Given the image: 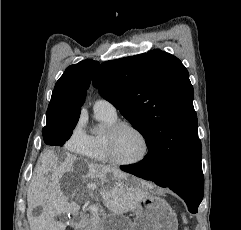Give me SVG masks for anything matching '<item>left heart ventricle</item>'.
<instances>
[{
  "label": "left heart ventricle",
  "instance_id": "obj_1",
  "mask_svg": "<svg viewBox=\"0 0 241 230\" xmlns=\"http://www.w3.org/2000/svg\"><path fill=\"white\" fill-rule=\"evenodd\" d=\"M143 142L133 130L121 129L115 137L114 150L118 159L123 161L135 160L143 152Z\"/></svg>",
  "mask_w": 241,
  "mask_h": 230
}]
</instances>
